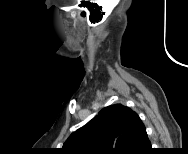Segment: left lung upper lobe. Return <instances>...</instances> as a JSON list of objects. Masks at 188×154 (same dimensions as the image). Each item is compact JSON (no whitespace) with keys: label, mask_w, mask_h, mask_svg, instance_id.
Returning a JSON list of instances; mask_svg holds the SVG:
<instances>
[{"label":"left lung upper lobe","mask_w":188,"mask_h":154,"mask_svg":"<svg viewBox=\"0 0 188 154\" xmlns=\"http://www.w3.org/2000/svg\"><path fill=\"white\" fill-rule=\"evenodd\" d=\"M134 112L122 104L104 107L63 144L68 154H126Z\"/></svg>","instance_id":"1"}]
</instances>
